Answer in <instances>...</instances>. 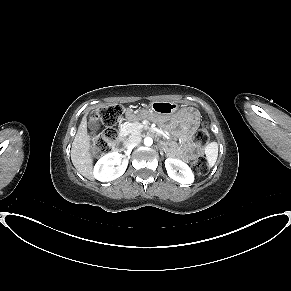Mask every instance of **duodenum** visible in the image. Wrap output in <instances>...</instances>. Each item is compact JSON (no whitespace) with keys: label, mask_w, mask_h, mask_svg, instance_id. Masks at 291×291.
Here are the masks:
<instances>
[{"label":"duodenum","mask_w":291,"mask_h":291,"mask_svg":"<svg viewBox=\"0 0 291 291\" xmlns=\"http://www.w3.org/2000/svg\"><path fill=\"white\" fill-rule=\"evenodd\" d=\"M121 141L119 142V144H117L115 146V149L117 151H120L122 149V147H124L126 144H127V140H128V137L126 135H123L122 137H120Z\"/></svg>","instance_id":"1"}]
</instances>
